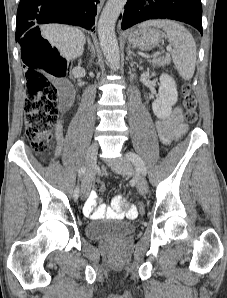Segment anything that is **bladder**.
<instances>
[{
  "mask_svg": "<svg viewBox=\"0 0 227 298\" xmlns=\"http://www.w3.org/2000/svg\"><path fill=\"white\" fill-rule=\"evenodd\" d=\"M135 230V224L130 221L102 219L88 223L85 234L92 240H110L129 236Z\"/></svg>",
  "mask_w": 227,
  "mask_h": 298,
  "instance_id": "1",
  "label": "bladder"
}]
</instances>
